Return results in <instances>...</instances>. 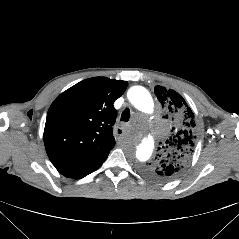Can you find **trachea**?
Masks as SVG:
<instances>
[{
    "label": "trachea",
    "instance_id": "1",
    "mask_svg": "<svg viewBox=\"0 0 239 239\" xmlns=\"http://www.w3.org/2000/svg\"><path fill=\"white\" fill-rule=\"evenodd\" d=\"M129 118H130V110H129V108H126L123 112H122V114H121V121H125V122H127L128 120H129Z\"/></svg>",
    "mask_w": 239,
    "mask_h": 239
}]
</instances>
